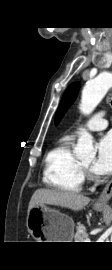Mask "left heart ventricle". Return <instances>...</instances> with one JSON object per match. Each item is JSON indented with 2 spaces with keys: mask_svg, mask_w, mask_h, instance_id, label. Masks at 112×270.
Wrapping results in <instances>:
<instances>
[{
  "mask_svg": "<svg viewBox=\"0 0 112 270\" xmlns=\"http://www.w3.org/2000/svg\"><path fill=\"white\" fill-rule=\"evenodd\" d=\"M82 163H83L85 166L89 167V166H91L92 161H91V160H89V161H83Z\"/></svg>",
  "mask_w": 112,
  "mask_h": 270,
  "instance_id": "1",
  "label": "left heart ventricle"
}]
</instances>
